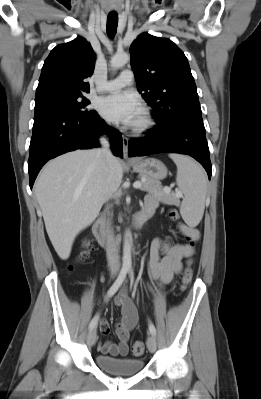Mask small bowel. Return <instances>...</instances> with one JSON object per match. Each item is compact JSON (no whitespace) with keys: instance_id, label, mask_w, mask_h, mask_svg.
Here are the masks:
<instances>
[{"instance_id":"c3829d8e","label":"small bowel","mask_w":261,"mask_h":399,"mask_svg":"<svg viewBox=\"0 0 261 399\" xmlns=\"http://www.w3.org/2000/svg\"><path fill=\"white\" fill-rule=\"evenodd\" d=\"M159 205L158 199L149 194L145 198L144 209L155 210ZM180 232L191 237L194 241L200 239L199 231L192 226L179 224ZM194 244H168L160 238L152 241L150 247V274L154 280L169 283L174 276L182 270L183 261H190L195 253ZM115 303L121 309V318L116 324L118 344L106 341L100 343L99 350L102 354L111 356H125L129 350L130 332L138 321V309L135 303L128 297L125 291H121L115 298ZM100 332L108 335L111 332L109 322L106 319L100 321Z\"/></svg>"}]
</instances>
